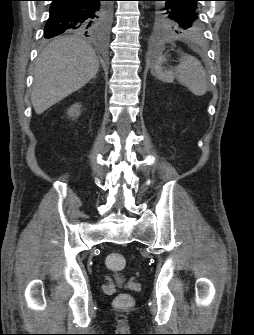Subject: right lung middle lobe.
Instances as JSON below:
<instances>
[{
  "label": "right lung middle lobe",
  "instance_id": "dd1d6c3e",
  "mask_svg": "<svg viewBox=\"0 0 254 335\" xmlns=\"http://www.w3.org/2000/svg\"><path fill=\"white\" fill-rule=\"evenodd\" d=\"M111 14V5L110 3H103L102 11L97 22L91 27L90 32L88 33H98L103 32L107 29L109 24ZM76 33L84 34V30L75 31ZM87 34V33H86Z\"/></svg>",
  "mask_w": 254,
  "mask_h": 335
}]
</instances>
